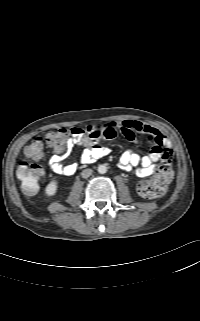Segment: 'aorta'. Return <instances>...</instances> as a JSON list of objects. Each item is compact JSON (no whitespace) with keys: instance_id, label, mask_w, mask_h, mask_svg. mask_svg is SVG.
<instances>
[{"instance_id":"762f6f07","label":"aorta","mask_w":200,"mask_h":321,"mask_svg":"<svg viewBox=\"0 0 200 321\" xmlns=\"http://www.w3.org/2000/svg\"><path fill=\"white\" fill-rule=\"evenodd\" d=\"M97 170L100 174H105L107 172V167L105 165H99Z\"/></svg>"}]
</instances>
